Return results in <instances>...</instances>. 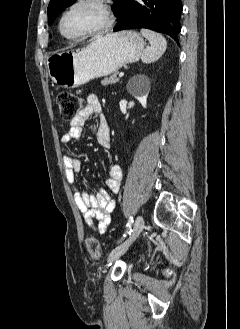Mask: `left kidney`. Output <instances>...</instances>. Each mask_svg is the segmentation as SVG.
<instances>
[{
	"instance_id": "1",
	"label": "left kidney",
	"mask_w": 240,
	"mask_h": 329,
	"mask_svg": "<svg viewBox=\"0 0 240 329\" xmlns=\"http://www.w3.org/2000/svg\"><path fill=\"white\" fill-rule=\"evenodd\" d=\"M135 83L141 85L140 89L134 88ZM127 89L146 108L147 96L150 90V81L145 75H136L128 83Z\"/></svg>"
}]
</instances>
